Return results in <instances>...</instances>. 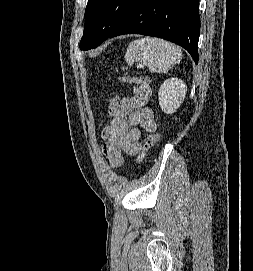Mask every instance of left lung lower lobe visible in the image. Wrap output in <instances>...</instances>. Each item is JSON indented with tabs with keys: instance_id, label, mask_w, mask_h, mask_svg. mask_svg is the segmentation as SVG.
Masks as SVG:
<instances>
[{
	"instance_id": "left-lung-lower-lobe-1",
	"label": "left lung lower lobe",
	"mask_w": 253,
	"mask_h": 271,
	"mask_svg": "<svg viewBox=\"0 0 253 271\" xmlns=\"http://www.w3.org/2000/svg\"><path fill=\"white\" fill-rule=\"evenodd\" d=\"M199 0H133L108 38L142 34L166 39L185 48L198 63Z\"/></svg>"
}]
</instances>
